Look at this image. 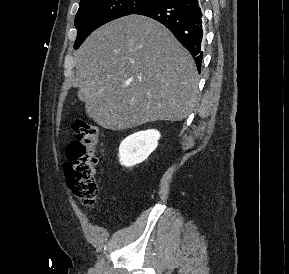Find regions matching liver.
<instances>
[{
	"label": "liver",
	"mask_w": 289,
	"mask_h": 274,
	"mask_svg": "<svg viewBox=\"0 0 289 274\" xmlns=\"http://www.w3.org/2000/svg\"><path fill=\"white\" fill-rule=\"evenodd\" d=\"M73 85L86 114L108 130L181 121L197 103L191 54L157 21L129 15L95 30L75 53Z\"/></svg>",
	"instance_id": "liver-1"
}]
</instances>
